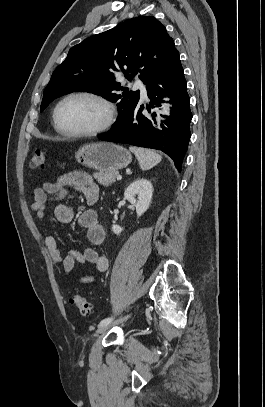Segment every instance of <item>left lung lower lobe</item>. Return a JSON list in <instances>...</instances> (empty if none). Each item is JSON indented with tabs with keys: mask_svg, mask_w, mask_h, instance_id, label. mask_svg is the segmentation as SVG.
Returning <instances> with one entry per match:
<instances>
[{
	"mask_svg": "<svg viewBox=\"0 0 265 407\" xmlns=\"http://www.w3.org/2000/svg\"><path fill=\"white\" fill-rule=\"evenodd\" d=\"M187 82L181 63L172 69L167 75L152 79L146 86L148 97L151 102L146 108L150 111L154 105L160 106L163 99L171 98L172 104L170 116L161 124V129H155L151 119L155 121V113L152 117L145 116L142 111L144 106H136L130 115L110 132L98 135L100 140L126 143L135 146L154 148L169 155L175 162L180 172L182 161L188 149L190 139V98L187 93Z\"/></svg>",
	"mask_w": 265,
	"mask_h": 407,
	"instance_id": "0a47b994",
	"label": "left lung lower lobe"
}]
</instances>
